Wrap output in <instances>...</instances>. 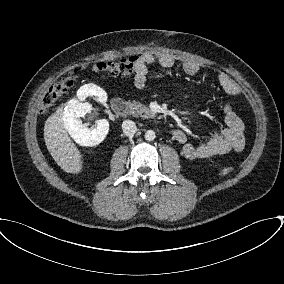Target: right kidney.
I'll list each match as a JSON object with an SVG mask.
<instances>
[{"mask_svg":"<svg viewBox=\"0 0 284 284\" xmlns=\"http://www.w3.org/2000/svg\"><path fill=\"white\" fill-rule=\"evenodd\" d=\"M88 96H95L98 102L107 100L106 92L95 84H85L77 91V100L69 102L64 112V125L71 137L81 146H96L100 144L109 131V122L106 119L96 121L94 128H88L81 120L90 108L88 103H82Z\"/></svg>","mask_w":284,"mask_h":284,"instance_id":"ca27d5eb","label":"right kidney"}]
</instances>
